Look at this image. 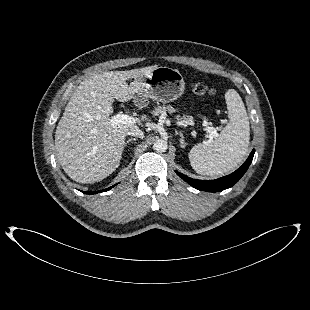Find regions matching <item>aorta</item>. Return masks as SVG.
Here are the masks:
<instances>
[{
  "label": "aorta",
  "mask_w": 310,
  "mask_h": 310,
  "mask_svg": "<svg viewBox=\"0 0 310 310\" xmlns=\"http://www.w3.org/2000/svg\"><path fill=\"white\" fill-rule=\"evenodd\" d=\"M168 148L166 140L158 139L153 144V149L157 152H165Z\"/></svg>",
  "instance_id": "aorta-1"
}]
</instances>
